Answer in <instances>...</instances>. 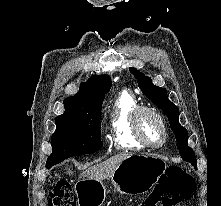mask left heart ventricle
<instances>
[{
  "instance_id": "obj_1",
  "label": "left heart ventricle",
  "mask_w": 221,
  "mask_h": 206,
  "mask_svg": "<svg viewBox=\"0 0 221 206\" xmlns=\"http://www.w3.org/2000/svg\"><path fill=\"white\" fill-rule=\"evenodd\" d=\"M142 132L151 144H159L163 138V132L159 121L151 114H143L141 119Z\"/></svg>"
}]
</instances>
